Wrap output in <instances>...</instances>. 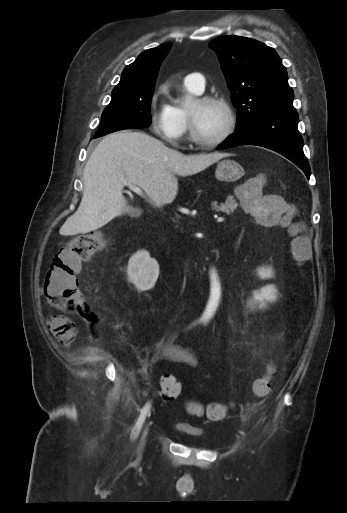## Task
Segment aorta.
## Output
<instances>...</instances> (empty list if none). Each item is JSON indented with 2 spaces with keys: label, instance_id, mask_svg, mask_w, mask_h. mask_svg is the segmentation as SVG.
<instances>
[{
  "label": "aorta",
  "instance_id": "aorta-1",
  "mask_svg": "<svg viewBox=\"0 0 347 513\" xmlns=\"http://www.w3.org/2000/svg\"><path fill=\"white\" fill-rule=\"evenodd\" d=\"M186 105L191 107L193 105V99H188L186 101ZM219 295H220V283H219L215 273L212 272V274H211V299H210L209 305L207 307V310L204 314V318H208L211 316L213 306L215 304V298L216 297L218 298Z\"/></svg>",
  "mask_w": 347,
  "mask_h": 513
}]
</instances>
